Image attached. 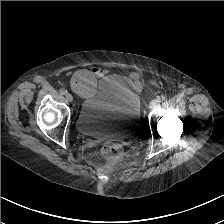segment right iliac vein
<instances>
[{"label":"right iliac vein","mask_w":224,"mask_h":224,"mask_svg":"<svg viewBox=\"0 0 224 224\" xmlns=\"http://www.w3.org/2000/svg\"><path fill=\"white\" fill-rule=\"evenodd\" d=\"M65 98L68 102H72L73 101V96L70 93H66Z\"/></svg>","instance_id":"obj_1"}]
</instances>
